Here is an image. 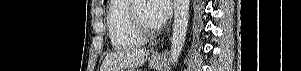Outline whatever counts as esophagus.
Listing matches in <instances>:
<instances>
[{
  "mask_svg": "<svg viewBox=\"0 0 301 71\" xmlns=\"http://www.w3.org/2000/svg\"><path fill=\"white\" fill-rule=\"evenodd\" d=\"M157 56L160 57V56H161V53H160V54H157Z\"/></svg>",
  "mask_w": 301,
  "mask_h": 71,
  "instance_id": "esophagus-1",
  "label": "esophagus"
}]
</instances>
